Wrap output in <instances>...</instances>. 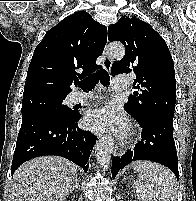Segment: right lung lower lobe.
<instances>
[{
	"label": "right lung lower lobe",
	"mask_w": 196,
	"mask_h": 201,
	"mask_svg": "<svg viewBox=\"0 0 196 201\" xmlns=\"http://www.w3.org/2000/svg\"><path fill=\"white\" fill-rule=\"evenodd\" d=\"M81 115L74 111L68 119L47 114L22 117L12 161V175L25 161L34 157L57 155L88 170V158L97 137L81 130L77 122Z\"/></svg>",
	"instance_id": "98d812e1"
}]
</instances>
